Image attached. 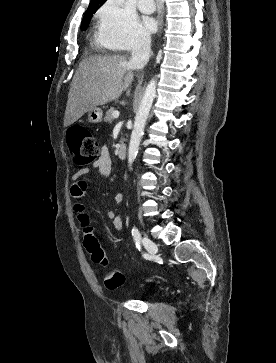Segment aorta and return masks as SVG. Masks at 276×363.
Here are the masks:
<instances>
[{
	"mask_svg": "<svg viewBox=\"0 0 276 363\" xmlns=\"http://www.w3.org/2000/svg\"><path fill=\"white\" fill-rule=\"evenodd\" d=\"M156 85L157 82L154 78L148 83L135 117L134 128L128 149V163L130 167L138 153L139 145L146 125V120L156 95Z\"/></svg>",
	"mask_w": 276,
	"mask_h": 363,
	"instance_id": "aorta-1",
	"label": "aorta"
}]
</instances>
